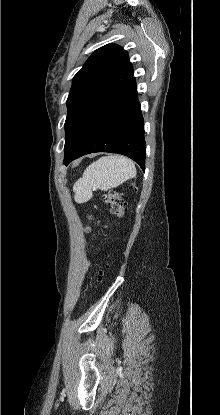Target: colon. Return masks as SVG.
<instances>
[{
    "label": "colon",
    "mask_w": 220,
    "mask_h": 415,
    "mask_svg": "<svg viewBox=\"0 0 220 415\" xmlns=\"http://www.w3.org/2000/svg\"><path fill=\"white\" fill-rule=\"evenodd\" d=\"M106 202L109 205L110 212L116 217L124 216V201L122 195L116 191H110L106 195ZM103 274L100 275L102 277Z\"/></svg>",
    "instance_id": "1"
}]
</instances>
